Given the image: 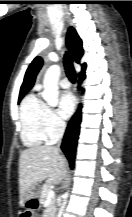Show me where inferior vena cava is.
<instances>
[{"label":"inferior vena cava","mask_w":132,"mask_h":217,"mask_svg":"<svg viewBox=\"0 0 132 217\" xmlns=\"http://www.w3.org/2000/svg\"><path fill=\"white\" fill-rule=\"evenodd\" d=\"M65 128H66L65 122L60 121L58 123V128H57V132H58V135H59L60 139L62 138V136L64 134ZM60 143H61V141L58 143V148L60 147Z\"/></svg>","instance_id":"inferior-vena-cava-1"}]
</instances>
